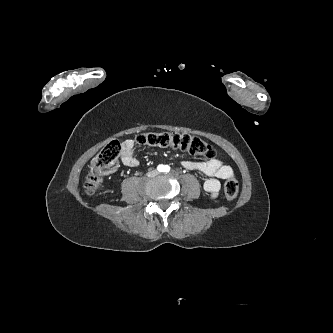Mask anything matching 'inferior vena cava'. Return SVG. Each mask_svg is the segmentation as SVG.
Segmentation results:
<instances>
[{
  "label": "inferior vena cava",
  "instance_id": "inferior-vena-cava-1",
  "mask_svg": "<svg viewBox=\"0 0 333 333\" xmlns=\"http://www.w3.org/2000/svg\"><path fill=\"white\" fill-rule=\"evenodd\" d=\"M148 174L151 175V172H149ZM153 174H154V175H157V174H158V171H157V170H154Z\"/></svg>",
  "mask_w": 333,
  "mask_h": 333
}]
</instances>
